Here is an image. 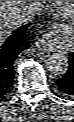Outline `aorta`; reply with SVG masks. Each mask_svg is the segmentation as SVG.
<instances>
[{"mask_svg":"<svg viewBox=\"0 0 74 122\" xmlns=\"http://www.w3.org/2000/svg\"><path fill=\"white\" fill-rule=\"evenodd\" d=\"M47 69L55 75H64L68 71V58L61 54H52L46 60Z\"/></svg>","mask_w":74,"mask_h":122,"instance_id":"762f6f07","label":"aorta"}]
</instances>
